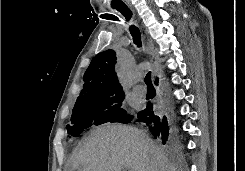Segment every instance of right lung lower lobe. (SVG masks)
<instances>
[{
  "label": "right lung lower lobe",
  "instance_id": "obj_1",
  "mask_svg": "<svg viewBox=\"0 0 245 171\" xmlns=\"http://www.w3.org/2000/svg\"><path fill=\"white\" fill-rule=\"evenodd\" d=\"M155 84H158V79H156ZM165 98L166 103L162 111L154 110L153 105L148 103L146 109L137 113V121L146 123L154 137L163 144L173 145L177 133L174 121L175 115L168 93Z\"/></svg>",
  "mask_w": 245,
  "mask_h": 171
}]
</instances>
